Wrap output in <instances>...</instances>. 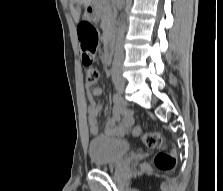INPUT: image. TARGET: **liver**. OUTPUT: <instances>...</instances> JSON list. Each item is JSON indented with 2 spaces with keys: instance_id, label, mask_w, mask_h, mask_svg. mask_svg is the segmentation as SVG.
Listing matches in <instances>:
<instances>
[{
  "instance_id": "1",
  "label": "liver",
  "mask_w": 223,
  "mask_h": 191,
  "mask_svg": "<svg viewBox=\"0 0 223 191\" xmlns=\"http://www.w3.org/2000/svg\"><path fill=\"white\" fill-rule=\"evenodd\" d=\"M93 2L94 0H70V11L75 23H78L80 19L81 9L79 6L87 8Z\"/></svg>"
}]
</instances>
